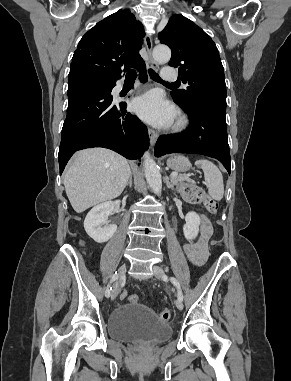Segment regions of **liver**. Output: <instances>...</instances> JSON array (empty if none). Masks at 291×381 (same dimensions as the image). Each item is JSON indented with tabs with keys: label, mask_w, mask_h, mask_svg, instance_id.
<instances>
[{
	"label": "liver",
	"mask_w": 291,
	"mask_h": 381,
	"mask_svg": "<svg viewBox=\"0 0 291 381\" xmlns=\"http://www.w3.org/2000/svg\"><path fill=\"white\" fill-rule=\"evenodd\" d=\"M127 159L104 148L85 149L74 155L64 174L68 199L77 213L121 195L130 177Z\"/></svg>",
	"instance_id": "liver-1"
}]
</instances>
